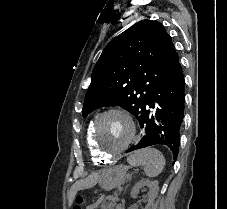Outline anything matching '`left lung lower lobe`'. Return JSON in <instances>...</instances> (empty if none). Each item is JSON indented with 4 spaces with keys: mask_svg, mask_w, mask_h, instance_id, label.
Listing matches in <instances>:
<instances>
[{
    "mask_svg": "<svg viewBox=\"0 0 227 209\" xmlns=\"http://www.w3.org/2000/svg\"><path fill=\"white\" fill-rule=\"evenodd\" d=\"M184 86L182 67L178 61L162 80L138 118L141 128H144L143 138L126 152L162 144L169 147L174 160L177 159L179 130L184 117Z\"/></svg>",
    "mask_w": 227,
    "mask_h": 209,
    "instance_id": "1",
    "label": "left lung lower lobe"
}]
</instances>
